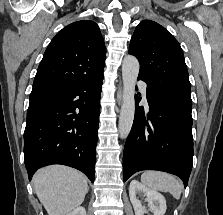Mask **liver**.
Instances as JSON below:
<instances>
[{
  "label": "liver",
  "mask_w": 223,
  "mask_h": 215,
  "mask_svg": "<svg viewBox=\"0 0 223 215\" xmlns=\"http://www.w3.org/2000/svg\"><path fill=\"white\" fill-rule=\"evenodd\" d=\"M35 191L49 215H66L84 201L88 191L83 173L66 165H47L33 175Z\"/></svg>",
  "instance_id": "6515ba94"
}]
</instances>
